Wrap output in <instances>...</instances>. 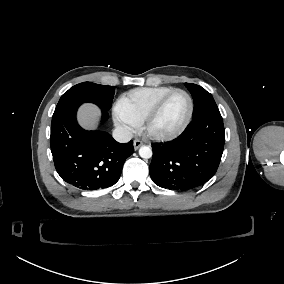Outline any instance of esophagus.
Segmentation results:
<instances>
[{
	"label": "esophagus",
	"instance_id": "esophagus-1",
	"mask_svg": "<svg viewBox=\"0 0 284 284\" xmlns=\"http://www.w3.org/2000/svg\"><path fill=\"white\" fill-rule=\"evenodd\" d=\"M143 144V142L139 139H135L134 140V143H133V146H134V150H138V148Z\"/></svg>",
	"mask_w": 284,
	"mask_h": 284
}]
</instances>
